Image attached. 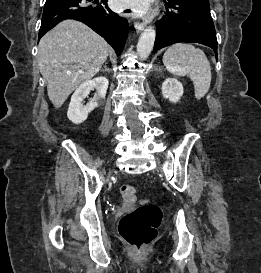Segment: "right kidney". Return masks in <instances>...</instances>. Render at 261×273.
<instances>
[{"instance_id": "ca27d5eb", "label": "right kidney", "mask_w": 261, "mask_h": 273, "mask_svg": "<svg viewBox=\"0 0 261 273\" xmlns=\"http://www.w3.org/2000/svg\"><path fill=\"white\" fill-rule=\"evenodd\" d=\"M109 82L106 77H96L81 84L73 93L69 104L67 117L74 124L84 122L88 114L93 111L105 99ZM96 89L94 97L89 103L83 105V99L87 97L91 90Z\"/></svg>"}]
</instances>
